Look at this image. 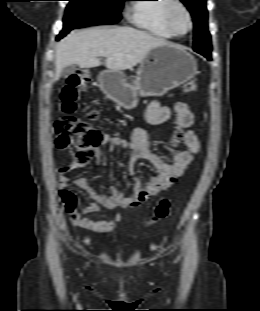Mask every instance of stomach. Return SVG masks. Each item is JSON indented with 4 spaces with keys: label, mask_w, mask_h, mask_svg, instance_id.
<instances>
[{
    "label": "stomach",
    "mask_w": 260,
    "mask_h": 311,
    "mask_svg": "<svg viewBox=\"0 0 260 311\" xmlns=\"http://www.w3.org/2000/svg\"><path fill=\"white\" fill-rule=\"evenodd\" d=\"M198 74L197 61L183 47L165 44L150 50L140 63L135 87L121 71L105 70L98 81L103 93L120 106L131 109L140 96H162Z\"/></svg>",
    "instance_id": "1"
}]
</instances>
